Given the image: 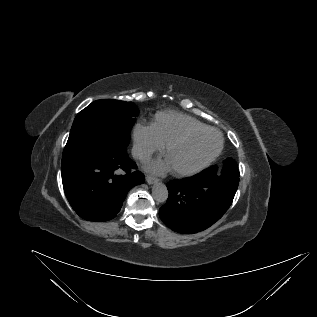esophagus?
<instances>
[{
    "instance_id": "esophagus-1",
    "label": "esophagus",
    "mask_w": 317,
    "mask_h": 317,
    "mask_svg": "<svg viewBox=\"0 0 317 317\" xmlns=\"http://www.w3.org/2000/svg\"><path fill=\"white\" fill-rule=\"evenodd\" d=\"M157 181H158V179L156 177H153V176H150V175L146 176V182L149 185H152V184L156 183Z\"/></svg>"
}]
</instances>
